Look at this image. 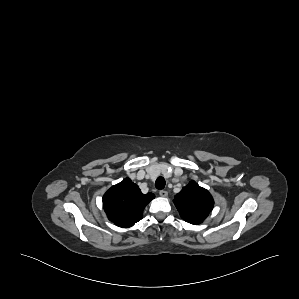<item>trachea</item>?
<instances>
[{"label": "trachea", "mask_w": 299, "mask_h": 299, "mask_svg": "<svg viewBox=\"0 0 299 299\" xmlns=\"http://www.w3.org/2000/svg\"><path fill=\"white\" fill-rule=\"evenodd\" d=\"M165 184H166L165 179L162 176H159L156 179L155 187L159 190H162L165 187Z\"/></svg>", "instance_id": "trachea-1"}]
</instances>
